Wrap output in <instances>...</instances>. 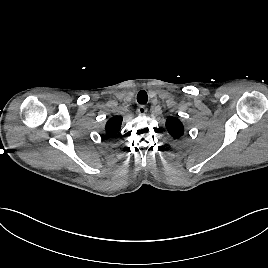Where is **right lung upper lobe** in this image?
Returning <instances> with one entry per match:
<instances>
[{
	"instance_id": "obj_1",
	"label": "right lung upper lobe",
	"mask_w": 268,
	"mask_h": 268,
	"mask_svg": "<svg viewBox=\"0 0 268 268\" xmlns=\"http://www.w3.org/2000/svg\"><path fill=\"white\" fill-rule=\"evenodd\" d=\"M122 120L123 118L121 116H113L107 121L105 130H106V135L108 137H113L119 132L121 128Z\"/></svg>"
}]
</instances>
